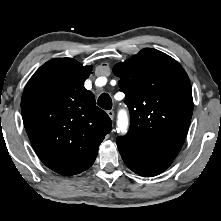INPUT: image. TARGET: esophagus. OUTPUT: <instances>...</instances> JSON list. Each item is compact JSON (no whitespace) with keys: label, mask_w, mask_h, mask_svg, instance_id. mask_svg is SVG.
<instances>
[{"label":"esophagus","mask_w":221,"mask_h":221,"mask_svg":"<svg viewBox=\"0 0 221 221\" xmlns=\"http://www.w3.org/2000/svg\"><path fill=\"white\" fill-rule=\"evenodd\" d=\"M107 114L110 117V119L113 120V118H114V111L113 110H108Z\"/></svg>","instance_id":"esophagus-1"}]
</instances>
